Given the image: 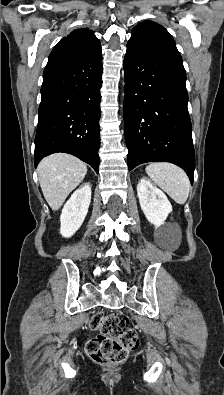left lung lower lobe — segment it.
<instances>
[{"label": "left lung lower lobe", "mask_w": 224, "mask_h": 395, "mask_svg": "<svg viewBox=\"0 0 224 395\" xmlns=\"http://www.w3.org/2000/svg\"><path fill=\"white\" fill-rule=\"evenodd\" d=\"M124 77L129 170L146 162H171L186 171L192 184L195 153L183 65L127 46Z\"/></svg>", "instance_id": "obj_1"}]
</instances>
